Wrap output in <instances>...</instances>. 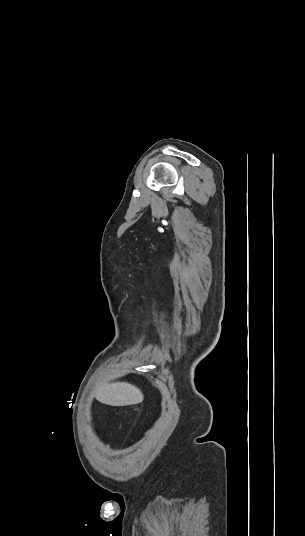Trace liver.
<instances>
[{"label": "liver", "instance_id": "liver-1", "mask_svg": "<svg viewBox=\"0 0 305 536\" xmlns=\"http://www.w3.org/2000/svg\"><path fill=\"white\" fill-rule=\"evenodd\" d=\"M95 398L101 404H108V406H132V404H141L144 400L141 390L127 382L103 384L96 390Z\"/></svg>", "mask_w": 305, "mask_h": 536}]
</instances>
